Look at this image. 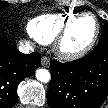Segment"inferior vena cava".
Segmentation results:
<instances>
[{
  "label": "inferior vena cava",
  "instance_id": "1",
  "mask_svg": "<svg viewBox=\"0 0 108 108\" xmlns=\"http://www.w3.org/2000/svg\"><path fill=\"white\" fill-rule=\"evenodd\" d=\"M18 50L21 53L29 54L32 51H34V47H33L32 43H30L29 41L25 40V41H20L19 42V44H18Z\"/></svg>",
  "mask_w": 108,
  "mask_h": 108
}]
</instances>
